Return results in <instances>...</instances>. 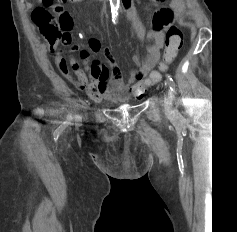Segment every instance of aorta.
<instances>
[{
    "label": "aorta",
    "instance_id": "obj_1",
    "mask_svg": "<svg viewBox=\"0 0 237 232\" xmlns=\"http://www.w3.org/2000/svg\"><path fill=\"white\" fill-rule=\"evenodd\" d=\"M112 20L117 21L119 17L120 0H110Z\"/></svg>",
    "mask_w": 237,
    "mask_h": 232
}]
</instances>
